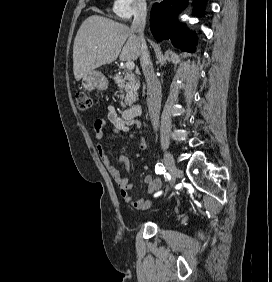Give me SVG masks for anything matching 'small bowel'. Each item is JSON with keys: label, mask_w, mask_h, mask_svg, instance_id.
<instances>
[{"label": "small bowel", "mask_w": 272, "mask_h": 282, "mask_svg": "<svg viewBox=\"0 0 272 282\" xmlns=\"http://www.w3.org/2000/svg\"><path fill=\"white\" fill-rule=\"evenodd\" d=\"M106 128H110L115 135L124 134L129 139L137 137L138 147L142 150L148 146L147 137L142 131L140 123L124 119L111 106L107 108L106 116L97 119L94 123L95 137L97 140H101L104 137ZM96 148L104 166L118 185L119 193L125 203L135 210H142L148 207L151 204V200H134L132 198L130 191L133 189V185L129 182L127 175H123L108 158L106 154L107 148L101 143H97ZM119 162L126 172L130 171V163L127 156L121 155ZM143 183L147 186L149 193H154L162 187V180L153 175H146Z\"/></svg>", "instance_id": "c3829d8e"}]
</instances>
